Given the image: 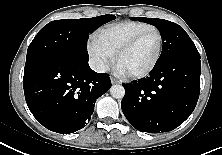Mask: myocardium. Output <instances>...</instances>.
<instances>
[{"label":"myocardium","mask_w":222,"mask_h":155,"mask_svg":"<svg viewBox=\"0 0 222 155\" xmlns=\"http://www.w3.org/2000/svg\"><path fill=\"white\" fill-rule=\"evenodd\" d=\"M150 32H156L159 37V48H158L156 58L153 61V63L146 70L139 72V73L128 74V76L132 79H142V78L147 77L155 70V68L159 64L161 57H162L163 48H164V37H163L162 32L157 27H152V28L146 29V30L138 33L134 37H132L130 40H128L126 43H124L122 46H120L118 48V50L115 52V61L118 62V60L122 54H124L125 52L132 49L145 35H147Z\"/></svg>","instance_id":"f54148a6"}]
</instances>
